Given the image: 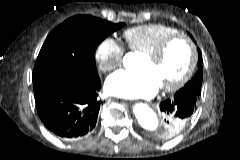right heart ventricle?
<instances>
[{
	"mask_svg": "<svg viewBox=\"0 0 240 160\" xmlns=\"http://www.w3.org/2000/svg\"><path fill=\"white\" fill-rule=\"evenodd\" d=\"M179 31L165 24H145L127 29L123 36L130 50L137 53L148 54L168 36Z\"/></svg>",
	"mask_w": 240,
	"mask_h": 160,
	"instance_id": "e07e8e85",
	"label": "right heart ventricle"
}]
</instances>
